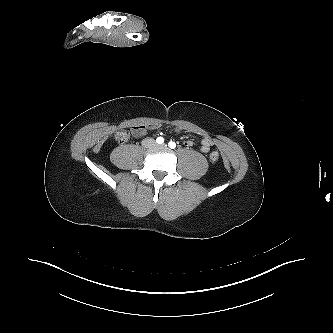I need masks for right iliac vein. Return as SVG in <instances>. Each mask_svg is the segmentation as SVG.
Here are the masks:
<instances>
[{"label": "right iliac vein", "mask_w": 333, "mask_h": 333, "mask_svg": "<svg viewBox=\"0 0 333 333\" xmlns=\"http://www.w3.org/2000/svg\"><path fill=\"white\" fill-rule=\"evenodd\" d=\"M151 144H152V141H151V140H147V141L145 142V145H146V146H151Z\"/></svg>", "instance_id": "right-iliac-vein-1"}]
</instances>
